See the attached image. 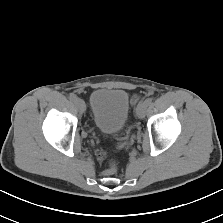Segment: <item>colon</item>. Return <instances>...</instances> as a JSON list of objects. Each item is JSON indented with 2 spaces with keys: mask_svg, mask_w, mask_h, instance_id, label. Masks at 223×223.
Segmentation results:
<instances>
[{
  "mask_svg": "<svg viewBox=\"0 0 223 223\" xmlns=\"http://www.w3.org/2000/svg\"><path fill=\"white\" fill-rule=\"evenodd\" d=\"M142 98H143L142 95H134L132 97V103L134 105H136L137 103H139L141 101ZM96 155L100 160L105 162V165H106L105 173L106 174H114L117 171L118 166H119V160L116 156L108 157L102 149H98L96 151Z\"/></svg>",
  "mask_w": 223,
  "mask_h": 223,
  "instance_id": "5ec220e1",
  "label": "colon"
}]
</instances>
